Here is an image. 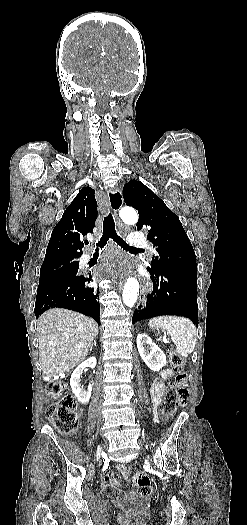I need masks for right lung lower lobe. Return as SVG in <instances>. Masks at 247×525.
Instances as JSON below:
<instances>
[{
    "mask_svg": "<svg viewBox=\"0 0 247 525\" xmlns=\"http://www.w3.org/2000/svg\"><path fill=\"white\" fill-rule=\"evenodd\" d=\"M90 282L91 275H67L39 284L35 302L36 318L50 308H67L84 313L100 324L99 291L85 287Z\"/></svg>",
    "mask_w": 247,
    "mask_h": 525,
    "instance_id": "right-lung-lower-lobe-1",
    "label": "right lung lower lobe"
}]
</instances>
